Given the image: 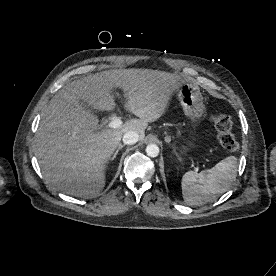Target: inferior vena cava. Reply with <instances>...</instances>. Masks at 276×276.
I'll use <instances>...</instances> for the list:
<instances>
[{"label":"inferior vena cava","instance_id":"1","mask_svg":"<svg viewBox=\"0 0 276 276\" xmlns=\"http://www.w3.org/2000/svg\"><path fill=\"white\" fill-rule=\"evenodd\" d=\"M139 140V134L136 131H127L123 135V143L126 145H133Z\"/></svg>","mask_w":276,"mask_h":276}]
</instances>
